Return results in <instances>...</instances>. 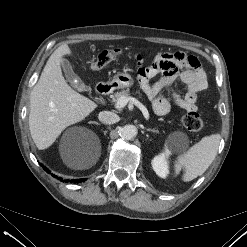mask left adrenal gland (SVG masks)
<instances>
[{"instance_id": "obj_1", "label": "left adrenal gland", "mask_w": 247, "mask_h": 247, "mask_svg": "<svg viewBox=\"0 0 247 247\" xmlns=\"http://www.w3.org/2000/svg\"><path fill=\"white\" fill-rule=\"evenodd\" d=\"M147 131H151V132H154V133H159L158 130H155V129H151V128H148Z\"/></svg>"}]
</instances>
